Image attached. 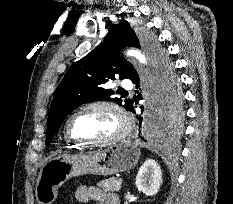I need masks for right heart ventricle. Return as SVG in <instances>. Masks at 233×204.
Masks as SVG:
<instances>
[{
  "mask_svg": "<svg viewBox=\"0 0 233 204\" xmlns=\"http://www.w3.org/2000/svg\"><path fill=\"white\" fill-rule=\"evenodd\" d=\"M65 141L67 142L68 145L76 146V147L79 146L78 143H75V144H74L67 136H65Z\"/></svg>",
  "mask_w": 233,
  "mask_h": 204,
  "instance_id": "1",
  "label": "right heart ventricle"
}]
</instances>
